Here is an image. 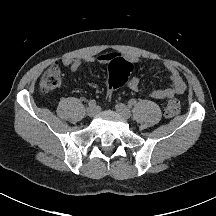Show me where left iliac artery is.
I'll return each instance as SVG.
<instances>
[{
	"label": "left iliac artery",
	"mask_w": 216,
	"mask_h": 216,
	"mask_svg": "<svg viewBox=\"0 0 216 216\" xmlns=\"http://www.w3.org/2000/svg\"><path fill=\"white\" fill-rule=\"evenodd\" d=\"M128 103H129L130 106L135 105L136 100L135 99H130Z\"/></svg>",
	"instance_id": "44dca946"
}]
</instances>
